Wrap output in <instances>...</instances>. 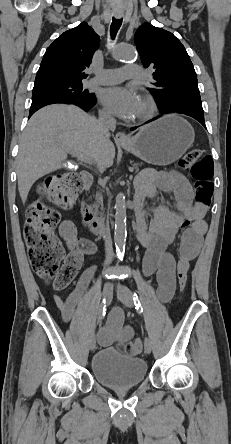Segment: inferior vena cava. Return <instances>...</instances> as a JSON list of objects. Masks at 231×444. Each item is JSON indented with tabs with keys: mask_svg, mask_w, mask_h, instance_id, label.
<instances>
[{
	"mask_svg": "<svg viewBox=\"0 0 231 444\" xmlns=\"http://www.w3.org/2000/svg\"><path fill=\"white\" fill-rule=\"evenodd\" d=\"M98 123H99L102 131H104V132L114 131L116 128V120L109 113H105V112L99 113ZM100 170H102V169H100ZM103 215H104L103 221L105 222L104 223L105 226L103 228L105 230H107L103 234L105 236H107V238L105 239V246H106L108 258L110 259L112 256V245H111V240L108 236L110 235L112 228L109 227L108 225L110 224L111 219L109 218V216L106 212Z\"/></svg>",
	"mask_w": 231,
	"mask_h": 444,
	"instance_id": "inferior-vena-cava-1",
	"label": "inferior vena cava"
}]
</instances>
